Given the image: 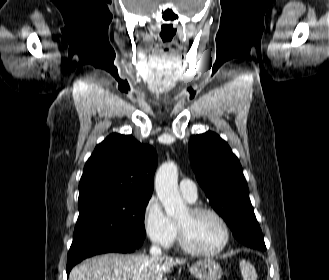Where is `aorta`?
Masks as SVG:
<instances>
[{"label":"aorta","mask_w":329,"mask_h":280,"mask_svg":"<svg viewBox=\"0 0 329 280\" xmlns=\"http://www.w3.org/2000/svg\"><path fill=\"white\" fill-rule=\"evenodd\" d=\"M155 189L167 216L177 218L187 213L186 203L178 190V168L174 162H166L159 167Z\"/></svg>","instance_id":"obj_1"}]
</instances>
